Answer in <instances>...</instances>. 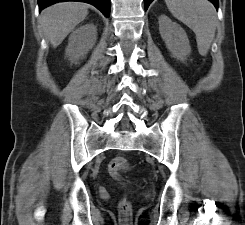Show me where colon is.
<instances>
[{
  "instance_id": "1",
  "label": "colon",
  "mask_w": 245,
  "mask_h": 225,
  "mask_svg": "<svg viewBox=\"0 0 245 225\" xmlns=\"http://www.w3.org/2000/svg\"><path fill=\"white\" fill-rule=\"evenodd\" d=\"M129 169V162L125 157L118 156L113 158L108 164L110 176L117 181H124L122 175ZM119 211L125 221L130 220L132 206L127 198H123L119 203Z\"/></svg>"
}]
</instances>
